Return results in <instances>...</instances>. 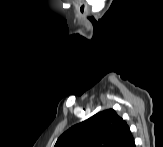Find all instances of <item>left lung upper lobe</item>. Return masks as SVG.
<instances>
[{
    "mask_svg": "<svg viewBox=\"0 0 163 147\" xmlns=\"http://www.w3.org/2000/svg\"><path fill=\"white\" fill-rule=\"evenodd\" d=\"M127 127L113 109L104 110L64 132L55 147H115Z\"/></svg>",
    "mask_w": 163,
    "mask_h": 147,
    "instance_id": "obj_1",
    "label": "left lung upper lobe"
}]
</instances>
